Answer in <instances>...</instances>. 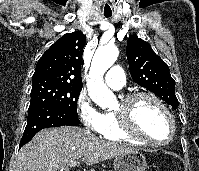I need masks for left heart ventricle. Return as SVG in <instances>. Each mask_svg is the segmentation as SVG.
<instances>
[{
    "label": "left heart ventricle",
    "mask_w": 199,
    "mask_h": 171,
    "mask_svg": "<svg viewBox=\"0 0 199 171\" xmlns=\"http://www.w3.org/2000/svg\"><path fill=\"white\" fill-rule=\"evenodd\" d=\"M134 120L138 130L147 138L164 142L171 133L170 124L162 108L148 98L138 99L133 107Z\"/></svg>",
    "instance_id": "obj_1"
}]
</instances>
